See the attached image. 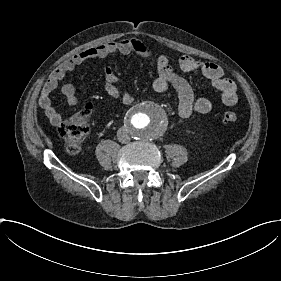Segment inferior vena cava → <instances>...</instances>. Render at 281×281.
Returning a JSON list of instances; mask_svg holds the SVG:
<instances>
[{
    "label": "inferior vena cava",
    "instance_id": "inferior-vena-cava-1",
    "mask_svg": "<svg viewBox=\"0 0 281 281\" xmlns=\"http://www.w3.org/2000/svg\"><path fill=\"white\" fill-rule=\"evenodd\" d=\"M117 138L120 143H129L130 142V137L124 128H120L117 131Z\"/></svg>",
    "mask_w": 281,
    "mask_h": 281
}]
</instances>
